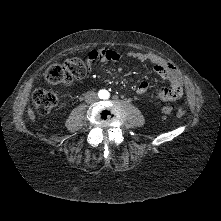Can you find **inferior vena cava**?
Wrapping results in <instances>:
<instances>
[{"label":"inferior vena cava","mask_w":221,"mask_h":221,"mask_svg":"<svg viewBox=\"0 0 221 221\" xmlns=\"http://www.w3.org/2000/svg\"><path fill=\"white\" fill-rule=\"evenodd\" d=\"M98 100V96L95 92L93 91H88L86 94H85V101L87 103H94Z\"/></svg>","instance_id":"obj_1"}]
</instances>
